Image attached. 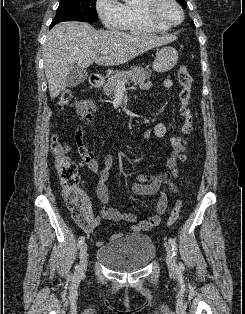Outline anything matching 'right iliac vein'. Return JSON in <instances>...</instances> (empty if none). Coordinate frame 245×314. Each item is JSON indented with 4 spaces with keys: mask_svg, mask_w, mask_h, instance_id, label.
Returning a JSON list of instances; mask_svg holds the SVG:
<instances>
[{
    "mask_svg": "<svg viewBox=\"0 0 245 314\" xmlns=\"http://www.w3.org/2000/svg\"><path fill=\"white\" fill-rule=\"evenodd\" d=\"M87 244L83 243L80 248V262L78 266V275L84 274L87 267Z\"/></svg>",
    "mask_w": 245,
    "mask_h": 314,
    "instance_id": "obj_1",
    "label": "right iliac vein"
}]
</instances>
